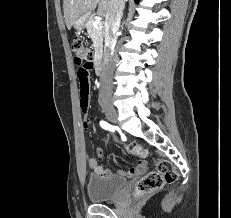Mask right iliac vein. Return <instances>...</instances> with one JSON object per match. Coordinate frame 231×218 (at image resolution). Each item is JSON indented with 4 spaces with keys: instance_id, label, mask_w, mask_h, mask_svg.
Masks as SVG:
<instances>
[{
    "instance_id": "1",
    "label": "right iliac vein",
    "mask_w": 231,
    "mask_h": 218,
    "mask_svg": "<svg viewBox=\"0 0 231 218\" xmlns=\"http://www.w3.org/2000/svg\"><path fill=\"white\" fill-rule=\"evenodd\" d=\"M102 110L108 120H110L111 122H117V112L112 105L110 104L104 105L102 107Z\"/></svg>"
}]
</instances>
